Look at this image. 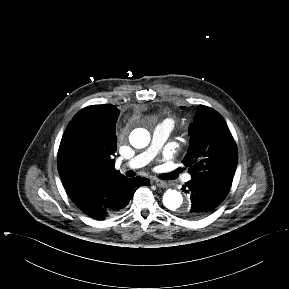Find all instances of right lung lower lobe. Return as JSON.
I'll return each mask as SVG.
<instances>
[{"label": "right lung lower lobe", "mask_w": 289, "mask_h": 289, "mask_svg": "<svg viewBox=\"0 0 289 289\" xmlns=\"http://www.w3.org/2000/svg\"><path fill=\"white\" fill-rule=\"evenodd\" d=\"M149 183V179L143 177L127 179L125 182L119 185L115 192V196L113 197L112 204L109 206L106 212L98 216H89L95 219L104 220L106 217L122 210L128 205L130 199L133 197L137 189V186L148 185Z\"/></svg>", "instance_id": "right-lung-lower-lobe-1"}]
</instances>
